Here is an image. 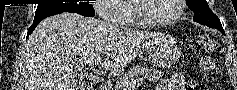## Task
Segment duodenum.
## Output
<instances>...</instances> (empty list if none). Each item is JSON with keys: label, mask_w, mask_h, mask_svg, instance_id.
Listing matches in <instances>:
<instances>
[{"label": "duodenum", "mask_w": 237, "mask_h": 90, "mask_svg": "<svg viewBox=\"0 0 237 90\" xmlns=\"http://www.w3.org/2000/svg\"><path fill=\"white\" fill-rule=\"evenodd\" d=\"M99 90H113L112 87H99Z\"/></svg>", "instance_id": "1"}]
</instances>
